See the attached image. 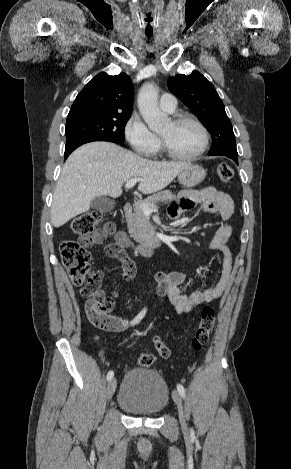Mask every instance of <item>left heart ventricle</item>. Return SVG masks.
<instances>
[{
	"label": "left heart ventricle",
	"instance_id": "obj_1",
	"mask_svg": "<svg viewBox=\"0 0 291 469\" xmlns=\"http://www.w3.org/2000/svg\"><path fill=\"white\" fill-rule=\"evenodd\" d=\"M168 147L179 155H189L200 147L202 137L199 129L191 122L173 124L169 122L161 131Z\"/></svg>",
	"mask_w": 291,
	"mask_h": 469
}]
</instances>
